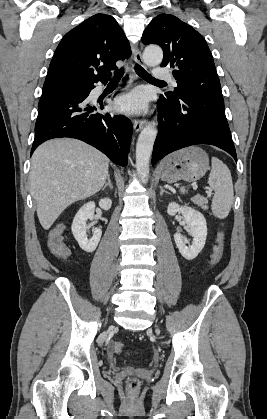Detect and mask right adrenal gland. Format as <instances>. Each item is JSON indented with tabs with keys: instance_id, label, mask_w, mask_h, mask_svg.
Instances as JSON below:
<instances>
[{
	"instance_id": "1",
	"label": "right adrenal gland",
	"mask_w": 267,
	"mask_h": 419,
	"mask_svg": "<svg viewBox=\"0 0 267 419\" xmlns=\"http://www.w3.org/2000/svg\"><path fill=\"white\" fill-rule=\"evenodd\" d=\"M107 186H109V187H110V189H113V185H112L111 180H110V174H108V177H107V183H105V185H104V187L102 188V190H105V188H106Z\"/></svg>"
}]
</instances>
